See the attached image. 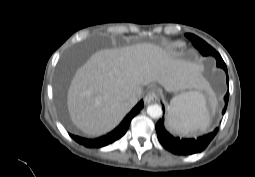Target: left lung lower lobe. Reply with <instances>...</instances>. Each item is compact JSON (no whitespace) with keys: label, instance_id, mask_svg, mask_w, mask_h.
<instances>
[{"label":"left lung lower lobe","instance_id":"1","mask_svg":"<svg viewBox=\"0 0 255 177\" xmlns=\"http://www.w3.org/2000/svg\"><path fill=\"white\" fill-rule=\"evenodd\" d=\"M227 84H229L228 74ZM228 99L229 90L224 97L225 106L222 111L223 114L227 109ZM162 108L164 112V106ZM218 130L219 128L217 127L212 133L200 136L197 139L196 138L186 139L175 137L174 135L166 131L164 126V116L156 124V132L160 143L166 150L170 151L175 155H192L195 153L202 152L212 141V139L216 136Z\"/></svg>","mask_w":255,"mask_h":177}]
</instances>
